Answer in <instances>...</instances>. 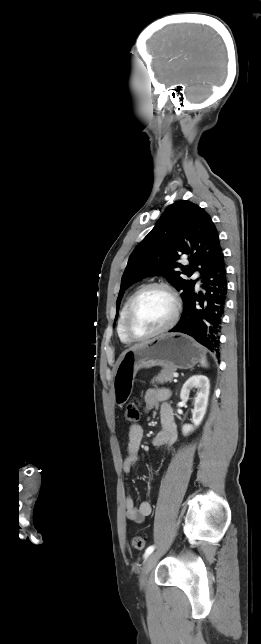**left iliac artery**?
<instances>
[{
  "mask_svg": "<svg viewBox=\"0 0 261 644\" xmlns=\"http://www.w3.org/2000/svg\"><path fill=\"white\" fill-rule=\"evenodd\" d=\"M154 549V545L149 546L144 553V557L147 558L154 551Z\"/></svg>",
  "mask_w": 261,
  "mask_h": 644,
  "instance_id": "1",
  "label": "left iliac artery"
}]
</instances>
